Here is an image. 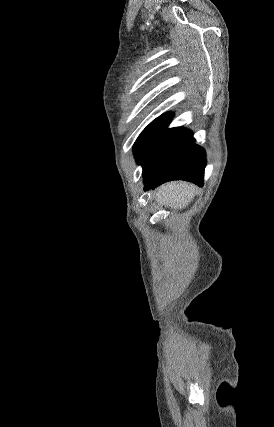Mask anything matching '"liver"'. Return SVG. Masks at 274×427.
<instances>
[{"instance_id": "6515ba94", "label": "liver", "mask_w": 274, "mask_h": 427, "mask_svg": "<svg viewBox=\"0 0 274 427\" xmlns=\"http://www.w3.org/2000/svg\"><path fill=\"white\" fill-rule=\"evenodd\" d=\"M194 190H196V186L189 182H168L158 188L155 196L156 202H163L167 208L181 210L191 202Z\"/></svg>"}]
</instances>
